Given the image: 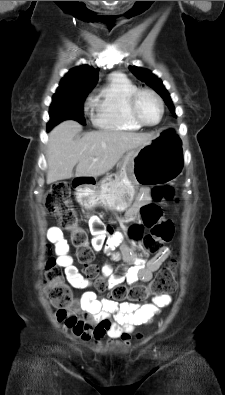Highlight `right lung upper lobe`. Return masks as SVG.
Masks as SVG:
<instances>
[{"label": "right lung upper lobe", "instance_id": "1", "mask_svg": "<svg viewBox=\"0 0 225 395\" xmlns=\"http://www.w3.org/2000/svg\"><path fill=\"white\" fill-rule=\"evenodd\" d=\"M98 81V69L82 65L70 70L61 80L57 90H92Z\"/></svg>", "mask_w": 225, "mask_h": 395}]
</instances>
